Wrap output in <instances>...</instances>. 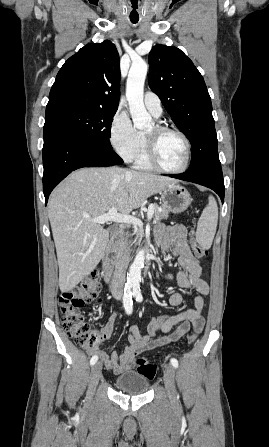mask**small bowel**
Listing matches in <instances>:
<instances>
[{
  "mask_svg": "<svg viewBox=\"0 0 269 447\" xmlns=\"http://www.w3.org/2000/svg\"><path fill=\"white\" fill-rule=\"evenodd\" d=\"M155 238L162 250H167L172 245V255L178 258L181 270L176 274L177 285L183 288H191L196 291L193 299V307L175 315H163L152 318L148 324V335H142L137 326L129 328V345L120 355L117 353H101V358L106 366L120 373L128 370L132 364V357L146 349L161 347L177 341L187 330L190 324L201 329L204 325L202 310L204 297L209 293V285L206 281L207 273L199 260L192 254L187 244V230L183 225L166 227L158 225L155 230ZM169 304L173 307L183 303L181 293L175 292L169 296ZM119 314L113 311L107 322L99 329L101 341L108 340L114 330ZM174 326H177L175 329ZM161 332L162 335L156 337ZM96 348L90 349L91 354L96 353Z\"/></svg>",
  "mask_w": 269,
  "mask_h": 447,
  "instance_id": "obj_1",
  "label": "small bowel"
}]
</instances>
